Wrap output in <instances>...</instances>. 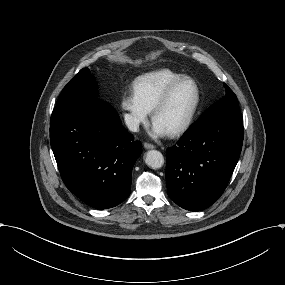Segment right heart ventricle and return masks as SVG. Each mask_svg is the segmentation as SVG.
<instances>
[{
    "instance_id": "right-heart-ventricle-1",
    "label": "right heart ventricle",
    "mask_w": 285,
    "mask_h": 285,
    "mask_svg": "<svg viewBox=\"0 0 285 285\" xmlns=\"http://www.w3.org/2000/svg\"><path fill=\"white\" fill-rule=\"evenodd\" d=\"M183 77L180 73L162 69L140 77L135 89L144 105L152 111L167 88Z\"/></svg>"
}]
</instances>
